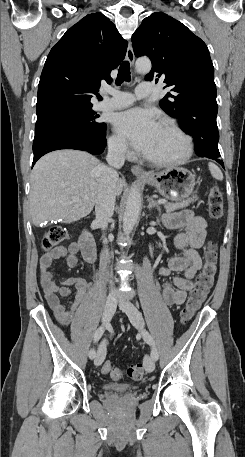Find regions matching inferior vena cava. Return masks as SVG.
<instances>
[{"instance_id":"602c4592","label":"inferior vena cava","mask_w":245,"mask_h":457,"mask_svg":"<svg viewBox=\"0 0 245 457\" xmlns=\"http://www.w3.org/2000/svg\"><path fill=\"white\" fill-rule=\"evenodd\" d=\"M127 150V142L125 138H118L115 142L108 144L107 162L110 166H99V188L97 202L95 206L96 218L94 222L100 226L102 231H105L108 224V218L112 216L115 206V186L118 180L116 168H121L125 160V152ZM104 245L108 241L103 237ZM111 293H114L113 283L109 281Z\"/></svg>"}]
</instances>
